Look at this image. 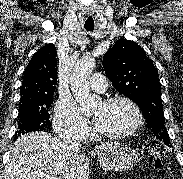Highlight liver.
Listing matches in <instances>:
<instances>
[{
    "label": "liver",
    "instance_id": "6515ba94",
    "mask_svg": "<svg viewBox=\"0 0 183 179\" xmlns=\"http://www.w3.org/2000/svg\"><path fill=\"white\" fill-rule=\"evenodd\" d=\"M89 179L85 154L71 152L63 141L46 132H31L18 138L10 150L3 179Z\"/></svg>",
    "mask_w": 183,
    "mask_h": 179
}]
</instances>
